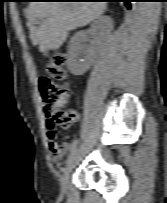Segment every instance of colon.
Instances as JSON below:
<instances>
[{
	"label": "colon",
	"instance_id": "5ec220e1",
	"mask_svg": "<svg viewBox=\"0 0 167 203\" xmlns=\"http://www.w3.org/2000/svg\"><path fill=\"white\" fill-rule=\"evenodd\" d=\"M66 63L65 53L56 52L46 66L47 76L38 79L50 140L52 135L56 136V127L67 129L74 122V113L62 109L69 95V88L64 84Z\"/></svg>",
	"mask_w": 167,
	"mask_h": 203
}]
</instances>
